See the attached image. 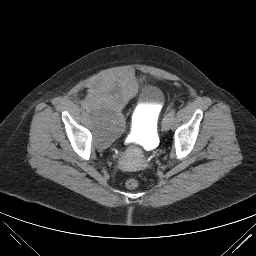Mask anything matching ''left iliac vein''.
Here are the masks:
<instances>
[{
  "instance_id": "4c4485c4",
  "label": "left iliac vein",
  "mask_w": 256,
  "mask_h": 256,
  "mask_svg": "<svg viewBox=\"0 0 256 256\" xmlns=\"http://www.w3.org/2000/svg\"><path fill=\"white\" fill-rule=\"evenodd\" d=\"M171 123H172V118L166 115L162 121V130L168 131L170 129Z\"/></svg>"
}]
</instances>
